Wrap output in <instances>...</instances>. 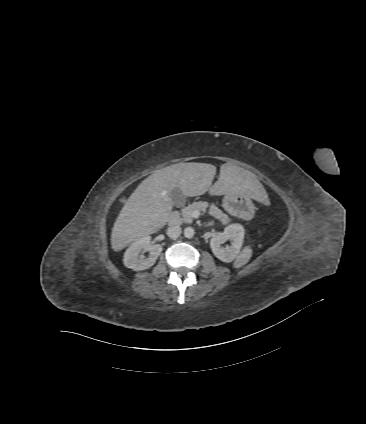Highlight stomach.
Instances as JSON below:
<instances>
[{"instance_id":"0dacf381","label":"stomach","mask_w":366,"mask_h":424,"mask_svg":"<svg viewBox=\"0 0 366 424\" xmlns=\"http://www.w3.org/2000/svg\"><path fill=\"white\" fill-rule=\"evenodd\" d=\"M237 204H245L249 208H254L253 203L251 201V197L249 196H242L236 194L225 195V198L223 200V208L228 214L233 216L240 215L239 211L236 208Z\"/></svg>"}]
</instances>
